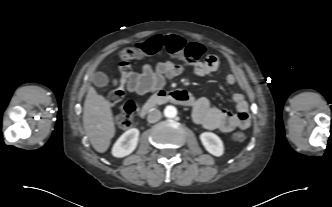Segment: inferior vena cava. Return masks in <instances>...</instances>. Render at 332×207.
Returning <instances> with one entry per match:
<instances>
[{"instance_id": "inferior-vena-cava-1", "label": "inferior vena cava", "mask_w": 332, "mask_h": 207, "mask_svg": "<svg viewBox=\"0 0 332 207\" xmlns=\"http://www.w3.org/2000/svg\"><path fill=\"white\" fill-rule=\"evenodd\" d=\"M161 117H162V115L159 110H152L149 112V114L147 116V121L149 123H155V122L159 121L161 119Z\"/></svg>"}]
</instances>
